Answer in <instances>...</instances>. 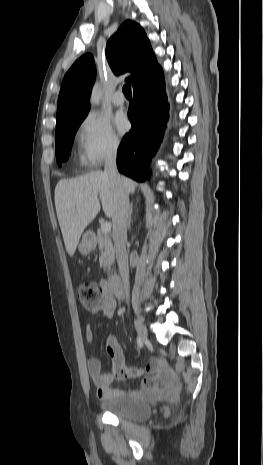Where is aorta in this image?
<instances>
[{
  "mask_svg": "<svg viewBox=\"0 0 263 465\" xmlns=\"http://www.w3.org/2000/svg\"><path fill=\"white\" fill-rule=\"evenodd\" d=\"M101 97H102V93H101L100 87L96 83L92 89V94H91V99H90L91 104L98 105Z\"/></svg>",
  "mask_w": 263,
  "mask_h": 465,
  "instance_id": "1",
  "label": "aorta"
}]
</instances>
